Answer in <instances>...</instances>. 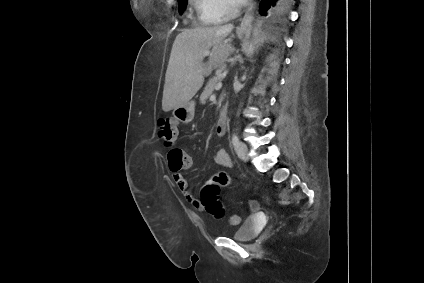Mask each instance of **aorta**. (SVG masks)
<instances>
[{
	"mask_svg": "<svg viewBox=\"0 0 424 283\" xmlns=\"http://www.w3.org/2000/svg\"><path fill=\"white\" fill-rule=\"evenodd\" d=\"M255 43H256V41L254 40V41L250 44V46L248 47V49H247V54H248V55H251V54L253 53Z\"/></svg>",
	"mask_w": 424,
	"mask_h": 283,
	"instance_id": "1",
	"label": "aorta"
}]
</instances>
